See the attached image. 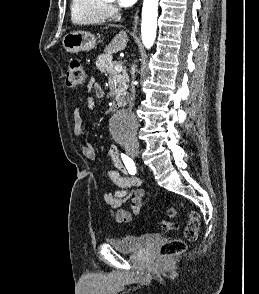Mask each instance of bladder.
<instances>
[{"mask_svg":"<svg viewBox=\"0 0 259 294\" xmlns=\"http://www.w3.org/2000/svg\"><path fill=\"white\" fill-rule=\"evenodd\" d=\"M159 239L158 233L125 235L119 238H111L108 244L119 252L135 253Z\"/></svg>","mask_w":259,"mask_h":294,"instance_id":"1","label":"bladder"}]
</instances>
